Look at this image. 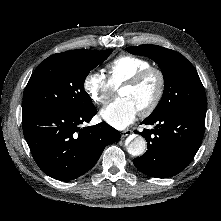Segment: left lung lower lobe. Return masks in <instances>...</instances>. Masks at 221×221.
<instances>
[{
    "label": "left lung lower lobe",
    "mask_w": 221,
    "mask_h": 221,
    "mask_svg": "<svg viewBox=\"0 0 221 221\" xmlns=\"http://www.w3.org/2000/svg\"><path fill=\"white\" fill-rule=\"evenodd\" d=\"M206 113L173 111L147 117L142 124L155 129L137 132L148 142V150L133 163L142 173L168 178L180 173L197 153L204 135Z\"/></svg>",
    "instance_id": "1"
}]
</instances>
